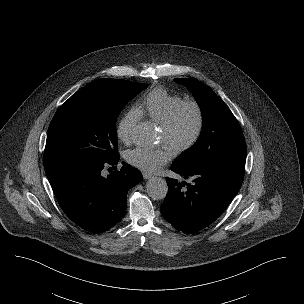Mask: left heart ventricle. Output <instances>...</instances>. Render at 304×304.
I'll list each match as a JSON object with an SVG mask.
<instances>
[{
	"instance_id": "1",
	"label": "left heart ventricle",
	"mask_w": 304,
	"mask_h": 304,
	"mask_svg": "<svg viewBox=\"0 0 304 304\" xmlns=\"http://www.w3.org/2000/svg\"><path fill=\"white\" fill-rule=\"evenodd\" d=\"M195 123L196 118L194 111L190 108L185 109L181 113L170 136H166L162 130L160 131V143L173 148V145L186 141L193 133Z\"/></svg>"
}]
</instances>
